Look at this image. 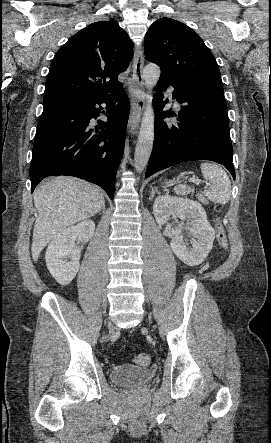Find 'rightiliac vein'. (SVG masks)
Masks as SVG:
<instances>
[{
    "label": "right iliac vein",
    "instance_id": "1",
    "mask_svg": "<svg viewBox=\"0 0 271 443\" xmlns=\"http://www.w3.org/2000/svg\"><path fill=\"white\" fill-rule=\"evenodd\" d=\"M108 327H109V334H110V335H113V334H114V328H113V325H112L111 323H109Z\"/></svg>",
    "mask_w": 271,
    "mask_h": 443
}]
</instances>
